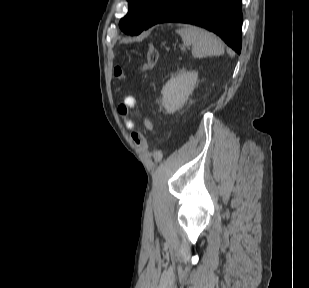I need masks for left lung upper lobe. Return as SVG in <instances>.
I'll use <instances>...</instances> for the list:
<instances>
[{
  "label": "left lung upper lobe",
  "instance_id": "left-lung-upper-lobe-1",
  "mask_svg": "<svg viewBox=\"0 0 309 288\" xmlns=\"http://www.w3.org/2000/svg\"><path fill=\"white\" fill-rule=\"evenodd\" d=\"M164 0H128L129 11L119 22L120 29L130 35L140 31Z\"/></svg>",
  "mask_w": 309,
  "mask_h": 288
}]
</instances>
